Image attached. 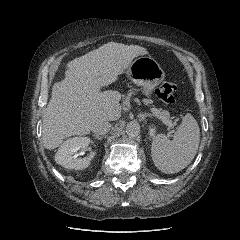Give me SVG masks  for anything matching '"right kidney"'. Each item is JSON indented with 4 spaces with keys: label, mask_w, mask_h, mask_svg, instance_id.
I'll list each match as a JSON object with an SVG mask.
<instances>
[{
    "label": "right kidney",
    "mask_w": 240,
    "mask_h": 240,
    "mask_svg": "<svg viewBox=\"0 0 240 240\" xmlns=\"http://www.w3.org/2000/svg\"><path fill=\"white\" fill-rule=\"evenodd\" d=\"M90 142L88 137H73L66 140L55 155L56 163L68 169L82 170L87 168L96 152L91 151L87 157L77 158V151L87 149Z\"/></svg>",
    "instance_id": "ca27d5eb"
}]
</instances>
